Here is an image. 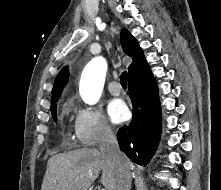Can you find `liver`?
<instances>
[{
	"instance_id": "6515ba94",
	"label": "liver",
	"mask_w": 221,
	"mask_h": 190,
	"mask_svg": "<svg viewBox=\"0 0 221 190\" xmlns=\"http://www.w3.org/2000/svg\"><path fill=\"white\" fill-rule=\"evenodd\" d=\"M127 160L132 170L133 165ZM89 171L91 175L88 174ZM100 171L101 184L106 190H115L117 169L98 149L82 148L57 154L48 160L41 190H88Z\"/></svg>"
}]
</instances>
